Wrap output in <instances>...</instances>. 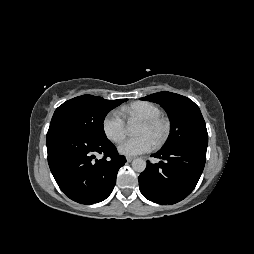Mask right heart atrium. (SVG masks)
<instances>
[{
    "instance_id": "obj_1",
    "label": "right heart atrium",
    "mask_w": 254,
    "mask_h": 254,
    "mask_svg": "<svg viewBox=\"0 0 254 254\" xmlns=\"http://www.w3.org/2000/svg\"><path fill=\"white\" fill-rule=\"evenodd\" d=\"M102 131L105 137L113 143H120L125 137V122L119 112H108L102 120Z\"/></svg>"
}]
</instances>
